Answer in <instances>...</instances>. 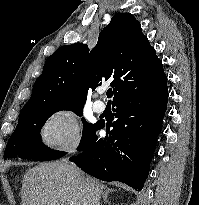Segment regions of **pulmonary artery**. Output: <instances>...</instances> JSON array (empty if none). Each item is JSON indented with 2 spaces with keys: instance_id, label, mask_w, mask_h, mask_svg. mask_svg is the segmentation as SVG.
Masks as SVG:
<instances>
[{
  "instance_id": "e3ab8cb5",
  "label": "pulmonary artery",
  "mask_w": 199,
  "mask_h": 205,
  "mask_svg": "<svg viewBox=\"0 0 199 205\" xmlns=\"http://www.w3.org/2000/svg\"><path fill=\"white\" fill-rule=\"evenodd\" d=\"M93 108H94L95 112L103 113L105 111V109H106V104L103 101H101V100H97V101L94 102Z\"/></svg>"
}]
</instances>
